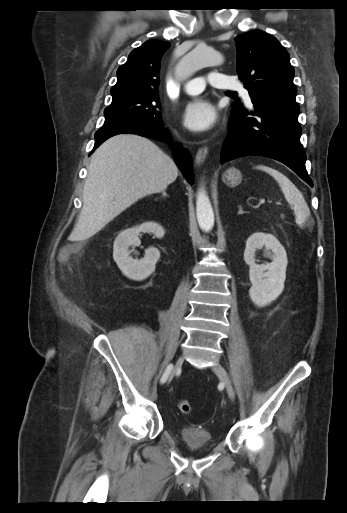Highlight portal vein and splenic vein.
Masks as SVG:
<instances>
[{"label":"portal vein and splenic vein","instance_id":"obj_1","mask_svg":"<svg viewBox=\"0 0 347 513\" xmlns=\"http://www.w3.org/2000/svg\"><path fill=\"white\" fill-rule=\"evenodd\" d=\"M265 201L264 200H260V204H263Z\"/></svg>","mask_w":347,"mask_h":513}]
</instances>
